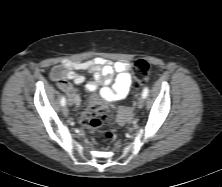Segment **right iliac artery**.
<instances>
[{"mask_svg": "<svg viewBox=\"0 0 222 187\" xmlns=\"http://www.w3.org/2000/svg\"><path fill=\"white\" fill-rule=\"evenodd\" d=\"M60 103L62 106H64L66 104V99L64 96H62Z\"/></svg>", "mask_w": 222, "mask_h": 187, "instance_id": "82829eb1", "label": "right iliac artery"}]
</instances>
